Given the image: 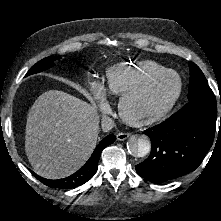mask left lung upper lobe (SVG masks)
I'll return each instance as SVG.
<instances>
[{
    "label": "left lung upper lobe",
    "instance_id": "obj_1",
    "mask_svg": "<svg viewBox=\"0 0 221 221\" xmlns=\"http://www.w3.org/2000/svg\"><path fill=\"white\" fill-rule=\"evenodd\" d=\"M190 68V83H189V93L188 100L191 101L197 97H210L215 98L213 91L207 84V80L200 70V68L189 62Z\"/></svg>",
    "mask_w": 221,
    "mask_h": 221
}]
</instances>
